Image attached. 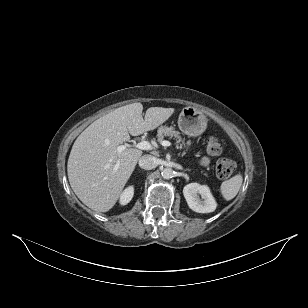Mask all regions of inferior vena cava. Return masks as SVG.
Masks as SVG:
<instances>
[{
	"mask_svg": "<svg viewBox=\"0 0 308 308\" xmlns=\"http://www.w3.org/2000/svg\"><path fill=\"white\" fill-rule=\"evenodd\" d=\"M139 166L145 170H151L157 166V158L152 155H143L139 159Z\"/></svg>",
	"mask_w": 308,
	"mask_h": 308,
	"instance_id": "602c4592",
	"label": "inferior vena cava"
}]
</instances>
